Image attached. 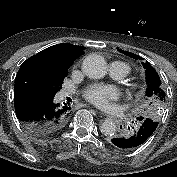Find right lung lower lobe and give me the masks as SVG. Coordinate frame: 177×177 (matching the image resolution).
I'll use <instances>...</instances> for the list:
<instances>
[{
	"instance_id": "98d812e1",
	"label": "right lung lower lobe",
	"mask_w": 177,
	"mask_h": 177,
	"mask_svg": "<svg viewBox=\"0 0 177 177\" xmlns=\"http://www.w3.org/2000/svg\"><path fill=\"white\" fill-rule=\"evenodd\" d=\"M54 95L43 94L24 86L14 87V106L18 119L37 136H46L64 127L70 107L55 104Z\"/></svg>"
}]
</instances>
